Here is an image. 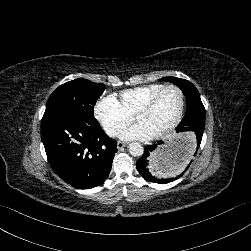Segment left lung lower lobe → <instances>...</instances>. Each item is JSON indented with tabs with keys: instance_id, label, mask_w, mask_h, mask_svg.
<instances>
[{
	"instance_id": "left-lung-lower-lobe-1",
	"label": "left lung lower lobe",
	"mask_w": 251,
	"mask_h": 251,
	"mask_svg": "<svg viewBox=\"0 0 251 251\" xmlns=\"http://www.w3.org/2000/svg\"><path fill=\"white\" fill-rule=\"evenodd\" d=\"M186 115L193 120L180 123L176 128L177 132L185 133L187 148L185 154L176 163L171 165L157 164L154 162L153 152L157 145H148L145 148L144 154L136 163L138 172L146 180L153 183L165 184L180 178L193 162L200 147L205 123H200L198 120L205 122V110L197 108H189ZM162 142H159L161 144ZM183 170V171H182ZM182 171L180 174H178ZM166 173L169 176H166ZM178 174V175H177Z\"/></svg>"
}]
</instances>
